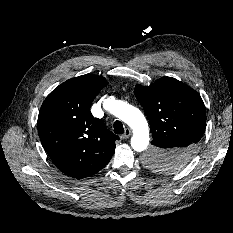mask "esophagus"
Masks as SVG:
<instances>
[{
    "instance_id": "34e87169",
    "label": "esophagus",
    "mask_w": 233,
    "mask_h": 233,
    "mask_svg": "<svg viewBox=\"0 0 233 233\" xmlns=\"http://www.w3.org/2000/svg\"><path fill=\"white\" fill-rule=\"evenodd\" d=\"M131 135V130L129 128L125 129L124 134L121 136L122 139H127Z\"/></svg>"
}]
</instances>
